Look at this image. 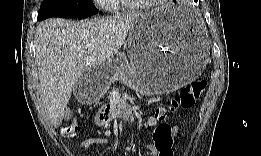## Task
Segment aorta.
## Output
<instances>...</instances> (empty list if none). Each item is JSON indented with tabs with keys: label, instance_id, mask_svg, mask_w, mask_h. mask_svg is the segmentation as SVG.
I'll return each instance as SVG.
<instances>
[{
	"label": "aorta",
	"instance_id": "aorta-1",
	"mask_svg": "<svg viewBox=\"0 0 261 156\" xmlns=\"http://www.w3.org/2000/svg\"><path fill=\"white\" fill-rule=\"evenodd\" d=\"M127 115L130 116L131 120H133V117L131 116V111H130V110H127V111H126V116H127Z\"/></svg>",
	"mask_w": 261,
	"mask_h": 156
}]
</instances>
